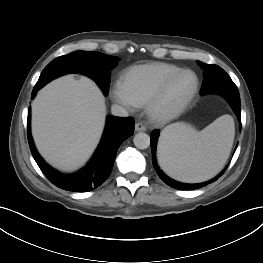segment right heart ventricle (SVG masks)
I'll return each instance as SVG.
<instances>
[{
  "instance_id": "right-heart-ventricle-1",
  "label": "right heart ventricle",
  "mask_w": 263,
  "mask_h": 263,
  "mask_svg": "<svg viewBox=\"0 0 263 263\" xmlns=\"http://www.w3.org/2000/svg\"><path fill=\"white\" fill-rule=\"evenodd\" d=\"M179 70V66L162 62L137 65L124 73L123 84L136 106H143L159 85Z\"/></svg>"
}]
</instances>
